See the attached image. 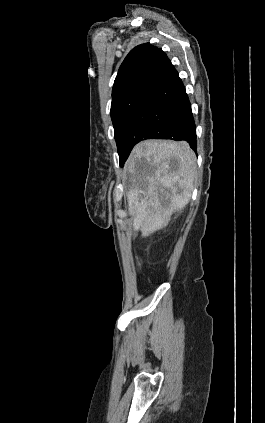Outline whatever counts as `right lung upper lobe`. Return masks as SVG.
Masks as SVG:
<instances>
[{
  "label": "right lung upper lobe",
  "mask_w": 265,
  "mask_h": 423,
  "mask_svg": "<svg viewBox=\"0 0 265 423\" xmlns=\"http://www.w3.org/2000/svg\"><path fill=\"white\" fill-rule=\"evenodd\" d=\"M171 66L166 54L150 43L135 47L119 68L112 90V104L130 94L149 93Z\"/></svg>",
  "instance_id": "cb5924a9"
}]
</instances>
